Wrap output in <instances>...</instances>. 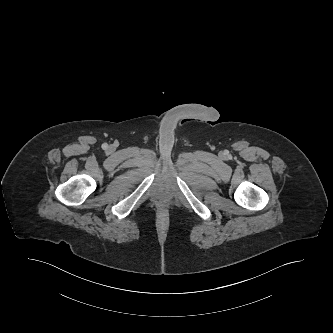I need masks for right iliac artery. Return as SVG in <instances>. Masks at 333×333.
I'll use <instances>...</instances> for the list:
<instances>
[{
    "mask_svg": "<svg viewBox=\"0 0 333 333\" xmlns=\"http://www.w3.org/2000/svg\"><path fill=\"white\" fill-rule=\"evenodd\" d=\"M103 148H107V144H103Z\"/></svg>",
    "mask_w": 333,
    "mask_h": 333,
    "instance_id": "right-iliac-artery-1",
    "label": "right iliac artery"
}]
</instances>
